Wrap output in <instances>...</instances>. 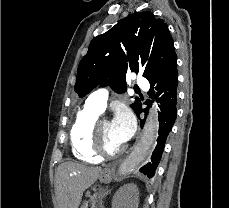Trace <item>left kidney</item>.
Here are the masks:
<instances>
[{
  "instance_id": "obj_1",
  "label": "left kidney",
  "mask_w": 229,
  "mask_h": 208,
  "mask_svg": "<svg viewBox=\"0 0 229 208\" xmlns=\"http://www.w3.org/2000/svg\"><path fill=\"white\" fill-rule=\"evenodd\" d=\"M139 190L135 184H124L113 196L112 208H138Z\"/></svg>"
}]
</instances>
